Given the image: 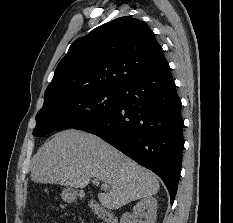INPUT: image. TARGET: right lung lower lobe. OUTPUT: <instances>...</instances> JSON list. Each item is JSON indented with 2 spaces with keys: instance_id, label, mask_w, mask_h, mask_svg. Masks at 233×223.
I'll return each mask as SVG.
<instances>
[{
  "instance_id": "98d812e1",
  "label": "right lung lower lobe",
  "mask_w": 233,
  "mask_h": 223,
  "mask_svg": "<svg viewBox=\"0 0 233 223\" xmlns=\"http://www.w3.org/2000/svg\"><path fill=\"white\" fill-rule=\"evenodd\" d=\"M119 89L115 110L78 129L101 137L156 173L167 186L172 202L184 139L181 102L168 63Z\"/></svg>"
}]
</instances>
